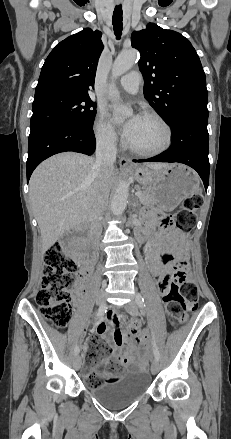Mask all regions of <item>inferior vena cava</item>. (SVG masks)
<instances>
[{
	"instance_id": "602c4592",
	"label": "inferior vena cava",
	"mask_w": 231,
	"mask_h": 439,
	"mask_svg": "<svg viewBox=\"0 0 231 439\" xmlns=\"http://www.w3.org/2000/svg\"><path fill=\"white\" fill-rule=\"evenodd\" d=\"M116 154L117 149L112 138L106 137L97 141L96 160L93 168L98 171L99 180L95 201L90 214L96 238H99L102 230L101 218L110 192L108 177L114 167Z\"/></svg>"
}]
</instances>
